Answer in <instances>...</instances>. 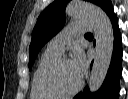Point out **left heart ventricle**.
<instances>
[{
    "mask_svg": "<svg viewBox=\"0 0 128 99\" xmlns=\"http://www.w3.org/2000/svg\"><path fill=\"white\" fill-rule=\"evenodd\" d=\"M55 80L62 89L71 90L79 84L81 78L74 70L71 61H65L61 65Z\"/></svg>",
    "mask_w": 128,
    "mask_h": 99,
    "instance_id": "b2bd125f",
    "label": "left heart ventricle"
}]
</instances>
